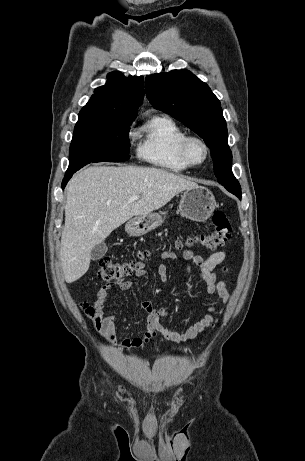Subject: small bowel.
<instances>
[{
	"instance_id": "c3829d8e",
	"label": "small bowel",
	"mask_w": 305,
	"mask_h": 461,
	"mask_svg": "<svg viewBox=\"0 0 305 461\" xmlns=\"http://www.w3.org/2000/svg\"><path fill=\"white\" fill-rule=\"evenodd\" d=\"M179 255L186 261H190L199 271V276L203 281V290L207 295L217 294L222 300L223 304H226L230 298V283L219 281L216 282V275L214 269L222 266L224 272L228 273V269L223 265L226 258L225 251H217L211 254L207 258H203L200 255L194 254L189 250H180ZM163 260H177L178 254L172 250H165L160 255ZM191 264H185V270L187 273L191 272ZM157 273L162 283L169 281L168 268L165 264H160L157 268ZM134 275L137 278L144 277L146 275V268L144 263H140ZM119 289L126 291L132 288L133 283L130 280H120L116 282ZM113 284H104L96 293L94 301V308L96 310L95 321L97 329L101 336L110 344L118 346L121 349H134L144 347L146 344L153 341L157 336H162L166 340L174 343H185L196 340L204 330L213 328L218 322V318L214 317L217 311L215 302L209 298L208 305L206 308V314L195 324L190 326L185 332H177L164 327L160 323V319L169 315V310L164 307H154L150 301H144L142 303V309L146 315L147 328L142 336L138 337H127L118 339L115 333V319L113 316H105V307L109 299V293L112 289ZM224 308L219 310V313H223Z\"/></svg>"
}]
</instances>
